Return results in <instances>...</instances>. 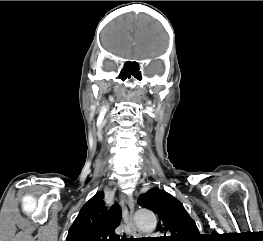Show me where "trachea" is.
Returning <instances> with one entry per match:
<instances>
[{
    "mask_svg": "<svg viewBox=\"0 0 263 241\" xmlns=\"http://www.w3.org/2000/svg\"><path fill=\"white\" fill-rule=\"evenodd\" d=\"M118 241H137V239L136 238H126L125 235H124Z\"/></svg>",
    "mask_w": 263,
    "mask_h": 241,
    "instance_id": "3493384b",
    "label": "trachea"
}]
</instances>
